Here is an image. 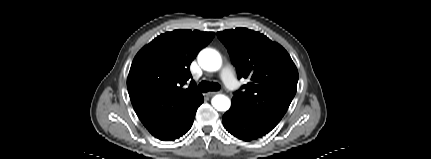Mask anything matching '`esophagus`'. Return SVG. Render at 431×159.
Wrapping results in <instances>:
<instances>
[{
  "label": "esophagus",
  "instance_id": "34e87169",
  "mask_svg": "<svg viewBox=\"0 0 431 159\" xmlns=\"http://www.w3.org/2000/svg\"><path fill=\"white\" fill-rule=\"evenodd\" d=\"M218 92H208L207 94H206V96H208V97H212V96H214L215 94H217Z\"/></svg>",
  "mask_w": 431,
  "mask_h": 159
}]
</instances>
